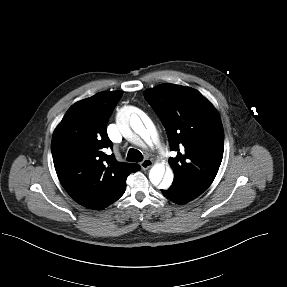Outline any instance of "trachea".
<instances>
[{
    "instance_id": "1",
    "label": "trachea",
    "mask_w": 287,
    "mask_h": 287,
    "mask_svg": "<svg viewBox=\"0 0 287 287\" xmlns=\"http://www.w3.org/2000/svg\"><path fill=\"white\" fill-rule=\"evenodd\" d=\"M143 160L142 153L134 148L129 149L126 161L129 162H141Z\"/></svg>"
}]
</instances>
